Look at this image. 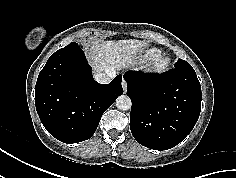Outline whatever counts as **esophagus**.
<instances>
[{
  "mask_svg": "<svg viewBox=\"0 0 236 178\" xmlns=\"http://www.w3.org/2000/svg\"><path fill=\"white\" fill-rule=\"evenodd\" d=\"M121 84H122V88H123L124 93H126L127 92V82H126V80L122 79Z\"/></svg>",
  "mask_w": 236,
  "mask_h": 178,
  "instance_id": "1",
  "label": "esophagus"
}]
</instances>
